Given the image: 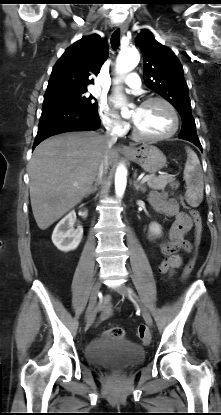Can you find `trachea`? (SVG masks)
I'll return each instance as SVG.
<instances>
[{"label": "trachea", "mask_w": 221, "mask_h": 415, "mask_svg": "<svg viewBox=\"0 0 221 415\" xmlns=\"http://www.w3.org/2000/svg\"><path fill=\"white\" fill-rule=\"evenodd\" d=\"M120 43V30L117 29L111 36V45L113 49H117Z\"/></svg>", "instance_id": "trachea-1"}]
</instances>
